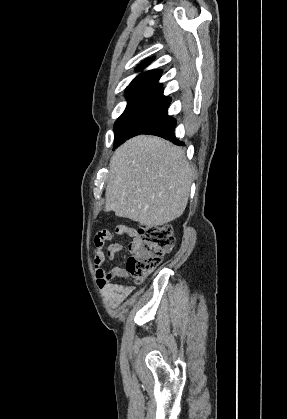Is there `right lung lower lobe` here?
I'll return each instance as SVG.
<instances>
[{
  "label": "right lung lower lobe",
  "instance_id": "right-lung-lower-lobe-1",
  "mask_svg": "<svg viewBox=\"0 0 287 419\" xmlns=\"http://www.w3.org/2000/svg\"><path fill=\"white\" fill-rule=\"evenodd\" d=\"M175 127L176 120L166 114L163 117L156 120L155 122H153L152 124H150L140 134L156 135L164 139L170 140L175 144L182 145L183 143L175 137Z\"/></svg>",
  "mask_w": 287,
  "mask_h": 419
}]
</instances>
